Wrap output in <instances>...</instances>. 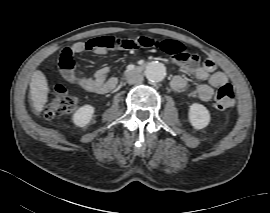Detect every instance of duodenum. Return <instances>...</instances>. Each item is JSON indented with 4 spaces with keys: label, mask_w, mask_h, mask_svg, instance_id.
I'll return each mask as SVG.
<instances>
[{
    "label": "duodenum",
    "mask_w": 270,
    "mask_h": 213,
    "mask_svg": "<svg viewBox=\"0 0 270 213\" xmlns=\"http://www.w3.org/2000/svg\"><path fill=\"white\" fill-rule=\"evenodd\" d=\"M143 71H144L143 65H138L134 68V72H136V73H142Z\"/></svg>",
    "instance_id": "duodenum-1"
}]
</instances>
